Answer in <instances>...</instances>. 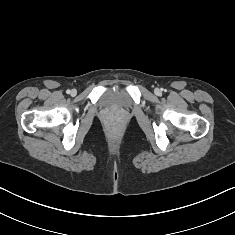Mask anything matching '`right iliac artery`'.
Wrapping results in <instances>:
<instances>
[{
	"label": "right iliac artery",
	"mask_w": 235,
	"mask_h": 235,
	"mask_svg": "<svg viewBox=\"0 0 235 235\" xmlns=\"http://www.w3.org/2000/svg\"><path fill=\"white\" fill-rule=\"evenodd\" d=\"M70 92H71L70 90H67V91H66L67 94H70Z\"/></svg>",
	"instance_id": "right-iliac-artery-1"
}]
</instances>
